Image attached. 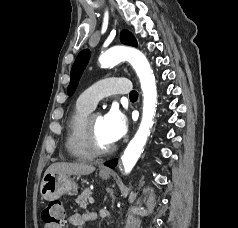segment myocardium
Wrapping results in <instances>:
<instances>
[{
	"label": "myocardium",
	"mask_w": 238,
	"mask_h": 228,
	"mask_svg": "<svg viewBox=\"0 0 238 228\" xmlns=\"http://www.w3.org/2000/svg\"><path fill=\"white\" fill-rule=\"evenodd\" d=\"M94 116L95 115H90V116H88V118L86 120V124H85L86 146L93 156L110 155L115 151L116 146L114 144H112L109 147L103 148L98 144L97 139H96L95 130L93 127V117Z\"/></svg>",
	"instance_id": "1"
}]
</instances>
